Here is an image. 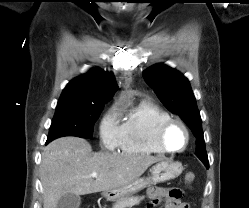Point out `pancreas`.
<instances>
[{"instance_id": "pancreas-1", "label": "pancreas", "mask_w": 249, "mask_h": 208, "mask_svg": "<svg viewBox=\"0 0 249 208\" xmlns=\"http://www.w3.org/2000/svg\"><path fill=\"white\" fill-rule=\"evenodd\" d=\"M143 199L144 196H125L118 199L112 208H132L133 206L138 205Z\"/></svg>"}]
</instances>
